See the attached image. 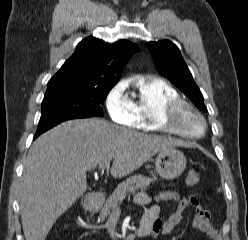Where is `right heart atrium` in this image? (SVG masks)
<instances>
[{
	"instance_id": "right-heart-atrium-1",
	"label": "right heart atrium",
	"mask_w": 248,
	"mask_h": 240,
	"mask_svg": "<svg viewBox=\"0 0 248 240\" xmlns=\"http://www.w3.org/2000/svg\"><path fill=\"white\" fill-rule=\"evenodd\" d=\"M104 104L112 121L128 127H135L136 116L132 100L126 93L125 83H116L107 92Z\"/></svg>"
}]
</instances>
